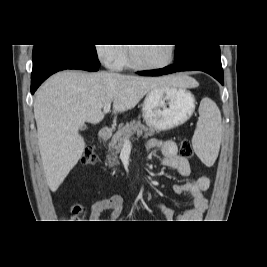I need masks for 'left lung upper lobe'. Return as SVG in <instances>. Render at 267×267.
I'll return each instance as SVG.
<instances>
[{
    "instance_id": "obj_1",
    "label": "left lung upper lobe",
    "mask_w": 267,
    "mask_h": 267,
    "mask_svg": "<svg viewBox=\"0 0 267 267\" xmlns=\"http://www.w3.org/2000/svg\"><path fill=\"white\" fill-rule=\"evenodd\" d=\"M205 45H177L175 48L176 63L182 62L188 54Z\"/></svg>"
}]
</instances>
